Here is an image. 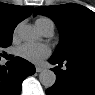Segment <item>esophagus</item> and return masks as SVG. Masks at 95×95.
<instances>
[{
  "instance_id": "esophagus-1",
  "label": "esophagus",
  "mask_w": 95,
  "mask_h": 95,
  "mask_svg": "<svg viewBox=\"0 0 95 95\" xmlns=\"http://www.w3.org/2000/svg\"><path fill=\"white\" fill-rule=\"evenodd\" d=\"M44 70L41 66H36V72H42Z\"/></svg>"
}]
</instances>
